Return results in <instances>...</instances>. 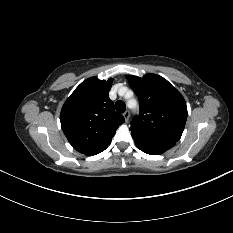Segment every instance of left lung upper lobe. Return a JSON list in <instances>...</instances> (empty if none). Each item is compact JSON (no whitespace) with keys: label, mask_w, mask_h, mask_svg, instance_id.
<instances>
[{"label":"left lung upper lobe","mask_w":233,"mask_h":233,"mask_svg":"<svg viewBox=\"0 0 233 233\" xmlns=\"http://www.w3.org/2000/svg\"><path fill=\"white\" fill-rule=\"evenodd\" d=\"M126 77L140 100V114L130 127L132 136L176 143L187 119V106L180 92L156 74Z\"/></svg>","instance_id":"1"}]
</instances>
